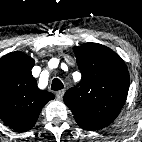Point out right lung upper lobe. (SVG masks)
Masks as SVG:
<instances>
[{"instance_id":"cb5924a9","label":"right lung upper lobe","mask_w":142,"mask_h":142,"mask_svg":"<svg viewBox=\"0 0 142 142\" xmlns=\"http://www.w3.org/2000/svg\"><path fill=\"white\" fill-rule=\"evenodd\" d=\"M34 59L12 52L0 60V118L18 132L31 129L54 95L40 90L32 76Z\"/></svg>"}]
</instances>
